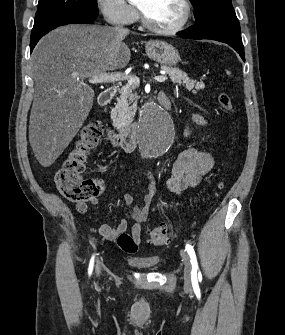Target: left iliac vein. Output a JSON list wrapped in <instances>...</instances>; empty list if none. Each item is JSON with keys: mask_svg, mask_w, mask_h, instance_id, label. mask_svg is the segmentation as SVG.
Masks as SVG:
<instances>
[{"mask_svg": "<svg viewBox=\"0 0 285 335\" xmlns=\"http://www.w3.org/2000/svg\"><path fill=\"white\" fill-rule=\"evenodd\" d=\"M180 254L182 256L183 264H184V279H185L186 284L190 286L191 280H192V274H191L192 267H191L190 259L185 251L181 250Z\"/></svg>", "mask_w": 285, "mask_h": 335, "instance_id": "left-iliac-vein-1", "label": "left iliac vein"}]
</instances>
